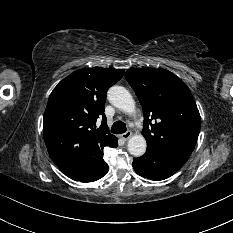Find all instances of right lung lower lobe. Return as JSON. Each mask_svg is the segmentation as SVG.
<instances>
[{
	"label": "right lung lower lobe",
	"mask_w": 233,
	"mask_h": 233,
	"mask_svg": "<svg viewBox=\"0 0 233 233\" xmlns=\"http://www.w3.org/2000/svg\"><path fill=\"white\" fill-rule=\"evenodd\" d=\"M61 171L69 178L75 181L93 182L106 175V173L108 172V165L104 160H102L96 166L82 165L75 167H67L61 169Z\"/></svg>",
	"instance_id": "98d812e1"
}]
</instances>
